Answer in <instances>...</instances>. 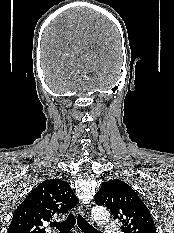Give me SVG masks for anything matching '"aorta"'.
Returning <instances> with one entry per match:
<instances>
[{"label":"aorta","instance_id":"1","mask_svg":"<svg viewBox=\"0 0 174 233\" xmlns=\"http://www.w3.org/2000/svg\"><path fill=\"white\" fill-rule=\"evenodd\" d=\"M91 215L99 225L109 222V212L103 206H94Z\"/></svg>","mask_w":174,"mask_h":233}]
</instances>
